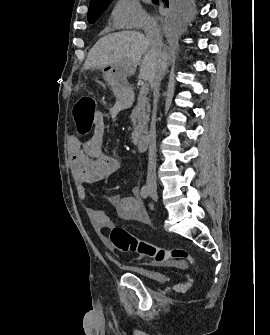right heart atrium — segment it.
Listing matches in <instances>:
<instances>
[{"instance_id":"1","label":"right heart atrium","mask_w":270,"mask_h":335,"mask_svg":"<svg viewBox=\"0 0 270 335\" xmlns=\"http://www.w3.org/2000/svg\"><path fill=\"white\" fill-rule=\"evenodd\" d=\"M112 14L119 29L139 30V25H158L137 0H116Z\"/></svg>"}]
</instances>
